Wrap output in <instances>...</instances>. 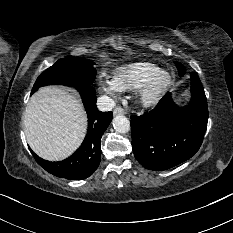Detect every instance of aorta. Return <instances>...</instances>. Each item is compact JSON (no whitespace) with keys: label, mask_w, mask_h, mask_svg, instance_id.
I'll return each mask as SVG.
<instances>
[{"label":"aorta","mask_w":233,"mask_h":233,"mask_svg":"<svg viewBox=\"0 0 233 233\" xmlns=\"http://www.w3.org/2000/svg\"><path fill=\"white\" fill-rule=\"evenodd\" d=\"M113 127L118 133H127L130 131V122L124 115H116L113 118Z\"/></svg>","instance_id":"762f6f07"}]
</instances>
